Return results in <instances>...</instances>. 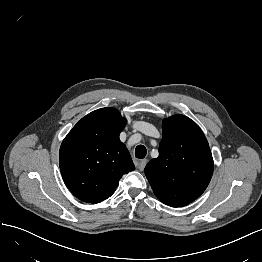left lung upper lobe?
<instances>
[{
  "label": "left lung upper lobe",
  "instance_id": "obj_1",
  "mask_svg": "<svg viewBox=\"0 0 262 262\" xmlns=\"http://www.w3.org/2000/svg\"><path fill=\"white\" fill-rule=\"evenodd\" d=\"M159 157L145 167L154 194L164 204L185 206L207 188L213 173L209 144L199 126L184 115L163 121Z\"/></svg>",
  "mask_w": 262,
  "mask_h": 262
}]
</instances>
